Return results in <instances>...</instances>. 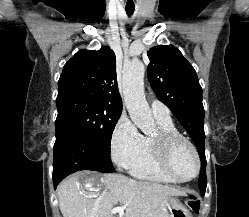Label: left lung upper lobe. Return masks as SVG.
Listing matches in <instances>:
<instances>
[{
	"label": "left lung upper lobe",
	"mask_w": 249,
	"mask_h": 217,
	"mask_svg": "<svg viewBox=\"0 0 249 217\" xmlns=\"http://www.w3.org/2000/svg\"><path fill=\"white\" fill-rule=\"evenodd\" d=\"M147 55V74L153 91L190 134L201 168H206L202 88L194 68L173 45L153 47Z\"/></svg>",
	"instance_id": "left-lung-upper-lobe-1"
}]
</instances>
